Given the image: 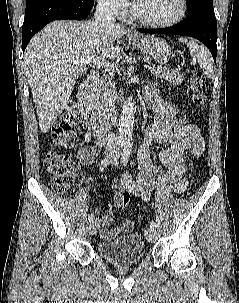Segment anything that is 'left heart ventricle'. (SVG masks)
Wrapping results in <instances>:
<instances>
[{
	"label": "left heart ventricle",
	"mask_w": 239,
	"mask_h": 303,
	"mask_svg": "<svg viewBox=\"0 0 239 303\" xmlns=\"http://www.w3.org/2000/svg\"><path fill=\"white\" fill-rule=\"evenodd\" d=\"M138 13L145 19L165 21L180 10L179 0H134Z\"/></svg>",
	"instance_id": "b2bd125f"
}]
</instances>
